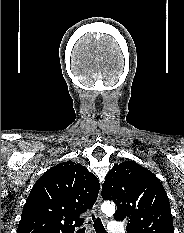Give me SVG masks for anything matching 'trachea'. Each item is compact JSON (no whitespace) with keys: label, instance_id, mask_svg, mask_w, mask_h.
Wrapping results in <instances>:
<instances>
[{"label":"trachea","instance_id":"1","mask_svg":"<svg viewBox=\"0 0 184 233\" xmlns=\"http://www.w3.org/2000/svg\"><path fill=\"white\" fill-rule=\"evenodd\" d=\"M92 219L94 221V228L96 230V233H107L101 220L99 218H96L94 214H92ZM76 233H85V227L79 228Z\"/></svg>","mask_w":184,"mask_h":233}]
</instances>
